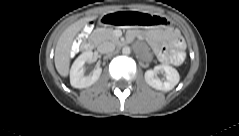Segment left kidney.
<instances>
[{
    "label": "left kidney",
    "mask_w": 239,
    "mask_h": 136,
    "mask_svg": "<svg viewBox=\"0 0 239 136\" xmlns=\"http://www.w3.org/2000/svg\"><path fill=\"white\" fill-rule=\"evenodd\" d=\"M160 71H164L166 74V78L164 80H160L157 77V73ZM144 77L148 85L161 91L172 90L180 80L178 71L175 68L164 64L155 66L153 70H147Z\"/></svg>",
    "instance_id": "left-kidney-1"
}]
</instances>
